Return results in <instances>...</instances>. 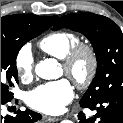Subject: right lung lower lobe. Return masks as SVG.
<instances>
[{
  "mask_svg": "<svg viewBox=\"0 0 123 123\" xmlns=\"http://www.w3.org/2000/svg\"><path fill=\"white\" fill-rule=\"evenodd\" d=\"M10 100H1V105L10 102ZM41 119V115L27 109L26 111H20L18 110L14 116L11 115H6L2 116L1 115V123H35L38 120Z\"/></svg>",
  "mask_w": 123,
  "mask_h": 123,
  "instance_id": "98d812e1",
  "label": "right lung lower lobe"
}]
</instances>
